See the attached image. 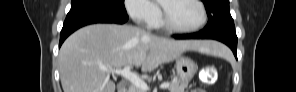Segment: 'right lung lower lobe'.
Returning a JSON list of instances; mask_svg holds the SVG:
<instances>
[{"label":"right lung lower lobe","mask_w":296,"mask_h":92,"mask_svg":"<svg viewBox=\"0 0 296 92\" xmlns=\"http://www.w3.org/2000/svg\"><path fill=\"white\" fill-rule=\"evenodd\" d=\"M128 20L127 13L110 11L98 6H78L71 8L65 19L60 33V43L75 30L85 25L94 23H117L123 24Z\"/></svg>","instance_id":"obj_1"}]
</instances>
